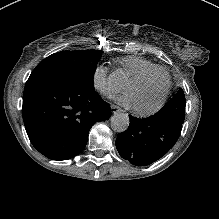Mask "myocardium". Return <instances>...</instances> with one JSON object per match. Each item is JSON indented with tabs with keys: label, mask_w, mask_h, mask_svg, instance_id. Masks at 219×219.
Masks as SVG:
<instances>
[{
	"label": "myocardium",
	"mask_w": 219,
	"mask_h": 219,
	"mask_svg": "<svg viewBox=\"0 0 219 219\" xmlns=\"http://www.w3.org/2000/svg\"><path fill=\"white\" fill-rule=\"evenodd\" d=\"M160 73H164L166 74L167 77V81L164 85V88L162 90V95L161 97L155 101L152 104L149 105H141L137 102L136 100V92L137 90L142 86L143 83H145V81L148 80V78L153 77L155 75H158ZM171 85H172V77L171 74L162 66H156L146 72H144L138 79H136L129 87H128V93L135 99V101L139 104V108L142 109L143 111L146 112H153L156 111L158 108H160L166 101L169 93H170V89H171Z\"/></svg>",
	"instance_id": "1"
}]
</instances>
